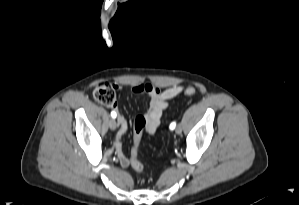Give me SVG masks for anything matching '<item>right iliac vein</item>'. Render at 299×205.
<instances>
[{
  "label": "right iliac vein",
  "instance_id": "right-iliac-vein-1",
  "mask_svg": "<svg viewBox=\"0 0 299 205\" xmlns=\"http://www.w3.org/2000/svg\"><path fill=\"white\" fill-rule=\"evenodd\" d=\"M109 127H110V129L113 130V131L117 128V123H116V120H115V119H111V120L109 121Z\"/></svg>",
  "mask_w": 299,
  "mask_h": 205
}]
</instances>
